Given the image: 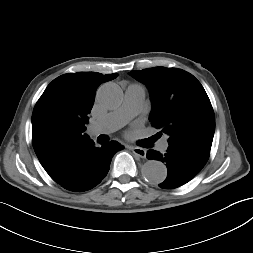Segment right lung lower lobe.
Wrapping results in <instances>:
<instances>
[{"label":"right lung lower lobe","instance_id":"obj_1","mask_svg":"<svg viewBox=\"0 0 253 253\" xmlns=\"http://www.w3.org/2000/svg\"><path fill=\"white\" fill-rule=\"evenodd\" d=\"M121 149L123 146L116 141H111L101 148L90 147L79 157L72 180L62 184V187L74 192L92 189L107 175L112 157Z\"/></svg>","mask_w":253,"mask_h":253}]
</instances>
